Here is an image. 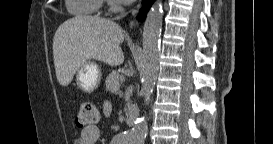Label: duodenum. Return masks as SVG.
<instances>
[{
	"label": "duodenum",
	"mask_w": 273,
	"mask_h": 144,
	"mask_svg": "<svg viewBox=\"0 0 273 144\" xmlns=\"http://www.w3.org/2000/svg\"><path fill=\"white\" fill-rule=\"evenodd\" d=\"M138 109L134 106H129L126 109V113H125V122L128 125H133L135 124L137 118H138Z\"/></svg>",
	"instance_id": "duodenum-1"
}]
</instances>
